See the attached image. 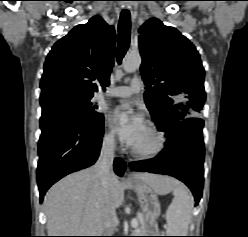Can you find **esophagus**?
Here are the masks:
<instances>
[{"mask_svg": "<svg viewBox=\"0 0 248 237\" xmlns=\"http://www.w3.org/2000/svg\"><path fill=\"white\" fill-rule=\"evenodd\" d=\"M131 175H132V173L130 172L129 169H127V170L125 171V176L130 177Z\"/></svg>", "mask_w": 248, "mask_h": 237, "instance_id": "obj_1", "label": "esophagus"}]
</instances>
